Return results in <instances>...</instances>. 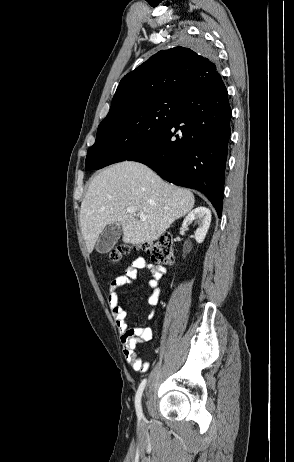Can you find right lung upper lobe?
Instances as JSON below:
<instances>
[{"label": "right lung upper lobe", "instance_id": "1", "mask_svg": "<svg viewBox=\"0 0 294 462\" xmlns=\"http://www.w3.org/2000/svg\"><path fill=\"white\" fill-rule=\"evenodd\" d=\"M220 78L212 53L181 46L161 50L122 78L109 113L164 95L185 97Z\"/></svg>", "mask_w": 294, "mask_h": 462}]
</instances>
